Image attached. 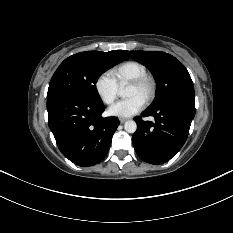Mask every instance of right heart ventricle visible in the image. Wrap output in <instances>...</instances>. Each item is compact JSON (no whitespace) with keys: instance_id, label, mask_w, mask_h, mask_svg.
<instances>
[{"instance_id":"e07e8e85","label":"right heart ventricle","mask_w":233,"mask_h":233,"mask_svg":"<svg viewBox=\"0 0 233 233\" xmlns=\"http://www.w3.org/2000/svg\"><path fill=\"white\" fill-rule=\"evenodd\" d=\"M144 75H147V68L138 61H127L111 70V76L118 86Z\"/></svg>"}]
</instances>
